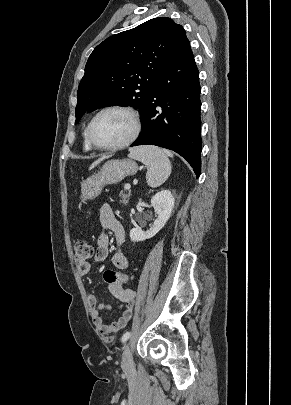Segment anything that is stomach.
Wrapping results in <instances>:
<instances>
[{
    "mask_svg": "<svg viewBox=\"0 0 291 405\" xmlns=\"http://www.w3.org/2000/svg\"><path fill=\"white\" fill-rule=\"evenodd\" d=\"M138 170L137 164L130 159L110 160L94 176L82 183L81 198L93 200L98 197L106 185L117 184L125 177L134 175Z\"/></svg>",
    "mask_w": 291,
    "mask_h": 405,
    "instance_id": "stomach-1",
    "label": "stomach"
}]
</instances>
